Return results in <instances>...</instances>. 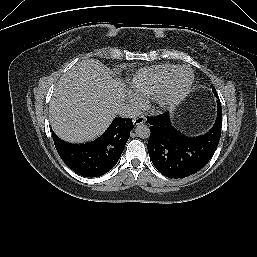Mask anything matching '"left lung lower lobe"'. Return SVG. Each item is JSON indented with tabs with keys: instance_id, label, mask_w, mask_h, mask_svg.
<instances>
[{
	"instance_id": "left-lung-lower-lobe-1",
	"label": "left lung lower lobe",
	"mask_w": 257,
	"mask_h": 257,
	"mask_svg": "<svg viewBox=\"0 0 257 257\" xmlns=\"http://www.w3.org/2000/svg\"><path fill=\"white\" fill-rule=\"evenodd\" d=\"M150 124L148 152L155 168L168 178H184L201 170L213 156L221 136L222 107L205 133L188 136L175 128L169 114L147 117Z\"/></svg>"
}]
</instances>
